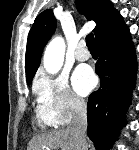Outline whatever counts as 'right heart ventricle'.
I'll return each mask as SVG.
<instances>
[{
	"label": "right heart ventricle",
	"mask_w": 139,
	"mask_h": 150,
	"mask_svg": "<svg viewBox=\"0 0 139 150\" xmlns=\"http://www.w3.org/2000/svg\"><path fill=\"white\" fill-rule=\"evenodd\" d=\"M35 118L37 124L42 128H46L53 125L48 113L40 103H38V105L36 106Z\"/></svg>",
	"instance_id": "1"
}]
</instances>
